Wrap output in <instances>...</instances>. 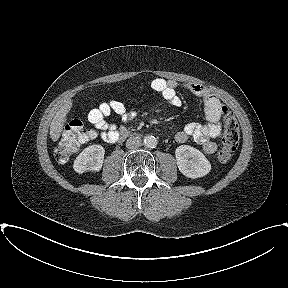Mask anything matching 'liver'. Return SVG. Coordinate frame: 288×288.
Listing matches in <instances>:
<instances>
[{"instance_id": "obj_1", "label": "liver", "mask_w": 288, "mask_h": 288, "mask_svg": "<svg viewBox=\"0 0 288 288\" xmlns=\"http://www.w3.org/2000/svg\"><path fill=\"white\" fill-rule=\"evenodd\" d=\"M71 107L72 101H66L65 104L61 106L59 111H57L56 115L54 116L50 125V137L52 141L55 142L60 138L63 131V126L67 120V113L70 111Z\"/></svg>"}]
</instances>
